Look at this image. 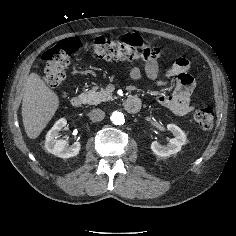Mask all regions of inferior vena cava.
<instances>
[{
	"label": "inferior vena cava",
	"mask_w": 236,
	"mask_h": 236,
	"mask_svg": "<svg viewBox=\"0 0 236 236\" xmlns=\"http://www.w3.org/2000/svg\"><path fill=\"white\" fill-rule=\"evenodd\" d=\"M89 117L91 119V121L93 122H99L102 121L105 117V112L102 111L101 109H93L91 110V112L89 113Z\"/></svg>",
	"instance_id": "obj_1"
}]
</instances>
